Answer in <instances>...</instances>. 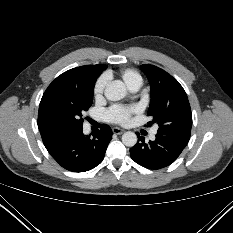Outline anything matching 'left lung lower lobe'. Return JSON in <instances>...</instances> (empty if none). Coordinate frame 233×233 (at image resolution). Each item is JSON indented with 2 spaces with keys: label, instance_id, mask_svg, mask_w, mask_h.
<instances>
[{
  "label": "left lung lower lobe",
  "instance_id": "left-lung-lower-lobe-1",
  "mask_svg": "<svg viewBox=\"0 0 233 233\" xmlns=\"http://www.w3.org/2000/svg\"><path fill=\"white\" fill-rule=\"evenodd\" d=\"M188 141L176 136L157 134L155 141L145 143L143 137L138 135V143L130 149V155L139 165L157 170L172 164Z\"/></svg>",
  "mask_w": 233,
  "mask_h": 233
}]
</instances>
